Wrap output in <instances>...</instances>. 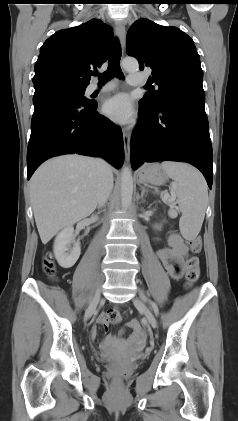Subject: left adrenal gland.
<instances>
[{
    "label": "left adrenal gland",
    "mask_w": 238,
    "mask_h": 421,
    "mask_svg": "<svg viewBox=\"0 0 238 421\" xmlns=\"http://www.w3.org/2000/svg\"><path fill=\"white\" fill-rule=\"evenodd\" d=\"M148 193V190L145 188V186H141V195L140 198L143 201V197L146 196L145 194Z\"/></svg>",
    "instance_id": "left-adrenal-gland-1"
}]
</instances>
